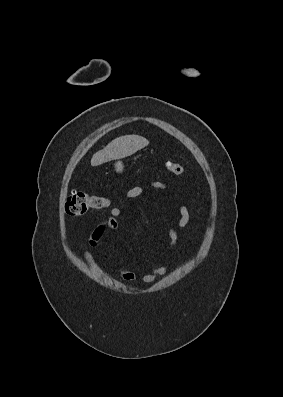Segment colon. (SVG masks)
Segmentation results:
<instances>
[{
  "label": "colon",
  "mask_w": 283,
  "mask_h": 397,
  "mask_svg": "<svg viewBox=\"0 0 283 397\" xmlns=\"http://www.w3.org/2000/svg\"><path fill=\"white\" fill-rule=\"evenodd\" d=\"M165 168L173 175H181L184 168L179 163L165 162ZM107 206V200L102 196L92 195L85 191H74L65 202V212L68 215L80 216L92 209H103Z\"/></svg>",
  "instance_id": "5ec220e1"
}]
</instances>
